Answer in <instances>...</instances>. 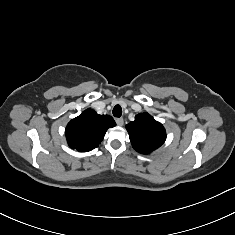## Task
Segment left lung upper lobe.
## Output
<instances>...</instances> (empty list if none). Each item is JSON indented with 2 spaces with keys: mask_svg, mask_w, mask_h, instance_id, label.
I'll return each instance as SVG.
<instances>
[{
  "mask_svg": "<svg viewBox=\"0 0 235 235\" xmlns=\"http://www.w3.org/2000/svg\"><path fill=\"white\" fill-rule=\"evenodd\" d=\"M133 148L142 154H148L159 148L166 139L163 125L148 113H141L126 125Z\"/></svg>",
  "mask_w": 235,
  "mask_h": 235,
  "instance_id": "obj_1",
  "label": "left lung upper lobe"
}]
</instances>
